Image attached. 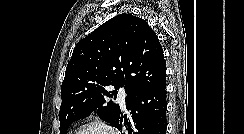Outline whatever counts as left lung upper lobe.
<instances>
[{"mask_svg": "<svg viewBox=\"0 0 244 134\" xmlns=\"http://www.w3.org/2000/svg\"><path fill=\"white\" fill-rule=\"evenodd\" d=\"M166 84V62L156 33L148 23L130 14H120L80 40L67 65L59 111L60 134L70 124L97 111L114 125L120 106L117 90L128 95ZM114 91H108V86Z\"/></svg>", "mask_w": 244, "mask_h": 134, "instance_id": "obj_1", "label": "left lung upper lobe"}]
</instances>
